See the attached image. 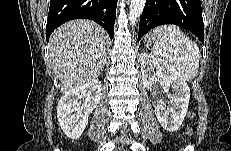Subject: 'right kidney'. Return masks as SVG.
I'll return each mask as SVG.
<instances>
[{
	"label": "right kidney",
	"mask_w": 231,
	"mask_h": 151,
	"mask_svg": "<svg viewBox=\"0 0 231 151\" xmlns=\"http://www.w3.org/2000/svg\"><path fill=\"white\" fill-rule=\"evenodd\" d=\"M101 95V81H88L66 92L58 102L57 118L63 132L78 139L88 124L90 113L96 108ZM79 99H83L81 105Z\"/></svg>",
	"instance_id": "obj_1"
}]
</instances>
